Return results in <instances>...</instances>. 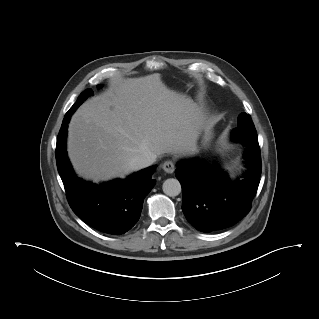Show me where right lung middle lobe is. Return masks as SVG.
Segmentation results:
<instances>
[{"label": "right lung middle lobe", "instance_id": "dd1d6c3e", "mask_svg": "<svg viewBox=\"0 0 319 319\" xmlns=\"http://www.w3.org/2000/svg\"><path fill=\"white\" fill-rule=\"evenodd\" d=\"M93 95V91L91 89H86L84 92L80 94L77 101L74 103V105L70 108L69 111L73 112L77 109V107L83 103L85 99L88 98V96Z\"/></svg>", "mask_w": 319, "mask_h": 319}]
</instances>
